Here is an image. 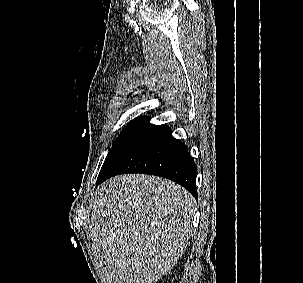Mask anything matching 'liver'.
Listing matches in <instances>:
<instances>
[{"mask_svg":"<svg viewBox=\"0 0 303 283\" xmlns=\"http://www.w3.org/2000/svg\"><path fill=\"white\" fill-rule=\"evenodd\" d=\"M194 206L186 189L159 177L128 174L105 182L91 235L108 270L125 283H156L186 249Z\"/></svg>","mask_w":303,"mask_h":283,"instance_id":"obj_1","label":"liver"}]
</instances>
